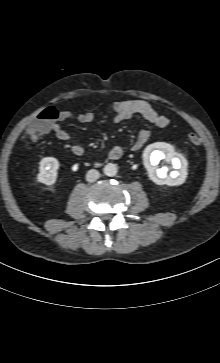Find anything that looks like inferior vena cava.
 <instances>
[{"label": "inferior vena cava", "mask_w": 220, "mask_h": 363, "mask_svg": "<svg viewBox=\"0 0 220 363\" xmlns=\"http://www.w3.org/2000/svg\"><path fill=\"white\" fill-rule=\"evenodd\" d=\"M99 177L100 173L95 169L89 170L86 174V180L88 182H95Z\"/></svg>", "instance_id": "obj_1"}]
</instances>
